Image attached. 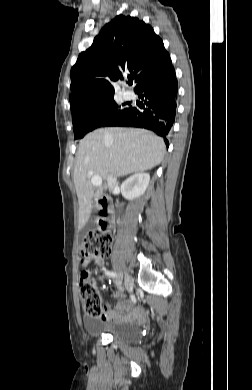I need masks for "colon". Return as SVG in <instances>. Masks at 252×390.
Segmentation results:
<instances>
[{"mask_svg": "<svg viewBox=\"0 0 252 390\" xmlns=\"http://www.w3.org/2000/svg\"><path fill=\"white\" fill-rule=\"evenodd\" d=\"M110 242L111 236L107 233H91L86 236L79 251L82 263L87 264L90 260L108 256L111 253ZM80 293L85 311L95 317L102 316L101 297L88 270L80 274Z\"/></svg>", "mask_w": 252, "mask_h": 390, "instance_id": "5ec220e1", "label": "colon"}]
</instances>
